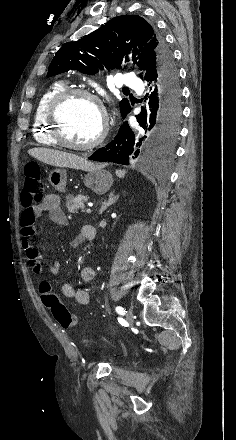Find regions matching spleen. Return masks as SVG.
<instances>
[{"mask_svg": "<svg viewBox=\"0 0 236 440\" xmlns=\"http://www.w3.org/2000/svg\"><path fill=\"white\" fill-rule=\"evenodd\" d=\"M125 174H126V171L125 170H116V175L119 177V178H124V176H125Z\"/></svg>", "mask_w": 236, "mask_h": 440, "instance_id": "1", "label": "spleen"}]
</instances>
